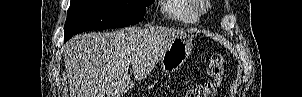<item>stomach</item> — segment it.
<instances>
[{
  "mask_svg": "<svg viewBox=\"0 0 302 97\" xmlns=\"http://www.w3.org/2000/svg\"><path fill=\"white\" fill-rule=\"evenodd\" d=\"M192 48V39L188 35L180 34L175 37L160 58L162 72L177 71L190 55Z\"/></svg>",
  "mask_w": 302,
  "mask_h": 97,
  "instance_id": "stomach-1",
  "label": "stomach"
}]
</instances>
